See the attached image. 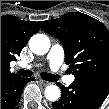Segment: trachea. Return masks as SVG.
<instances>
[{
  "mask_svg": "<svg viewBox=\"0 0 109 109\" xmlns=\"http://www.w3.org/2000/svg\"><path fill=\"white\" fill-rule=\"evenodd\" d=\"M18 73H19L20 76H23V77H30L33 74L32 71L23 70V69L19 70ZM40 75H41L42 79L49 81V82H55V81L58 80L56 75H52V74L47 73V72H42Z\"/></svg>",
  "mask_w": 109,
  "mask_h": 109,
  "instance_id": "1",
  "label": "trachea"
}]
</instances>
